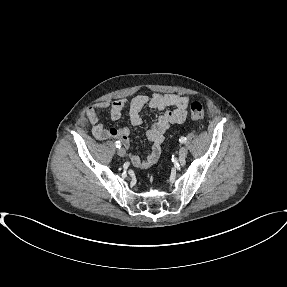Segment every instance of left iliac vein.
<instances>
[{"label":"left iliac vein","mask_w":287,"mask_h":287,"mask_svg":"<svg viewBox=\"0 0 287 287\" xmlns=\"http://www.w3.org/2000/svg\"><path fill=\"white\" fill-rule=\"evenodd\" d=\"M188 150L186 147H181L179 150V158L184 159L187 156Z\"/></svg>","instance_id":"obj_1"}]
</instances>
